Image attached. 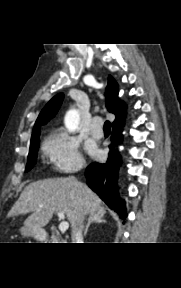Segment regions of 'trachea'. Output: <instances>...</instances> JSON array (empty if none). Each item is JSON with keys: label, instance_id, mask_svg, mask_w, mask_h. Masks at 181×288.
<instances>
[{"label": "trachea", "instance_id": "3493384b", "mask_svg": "<svg viewBox=\"0 0 181 288\" xmlns=\"http://www.w3.org/2000/svg\"><path fill=\"white\" fill-rule=\"evenodd\" d=\"M103 129H104V131H110L111 123L109 121H105Z\"/></svg>", "mask_w": 181, "mask_h": 288}]
</instances>
